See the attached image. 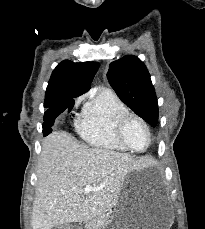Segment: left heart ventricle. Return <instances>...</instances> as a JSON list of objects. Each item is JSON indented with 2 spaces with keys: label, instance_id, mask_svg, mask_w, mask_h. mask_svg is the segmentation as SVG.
Listing matches in <instances>:
<instances>
[{
  "label": "left heart ventricle",
  "instance_id": "b2bd125f",
  "mask_svg": "<svg viewBox=\"0 0 205 229\" xmlns=\"http://www.w3.org/2000/svg\"><path fill=\"white\" fill-rule=\"evenodd\" d=\"M128 143L135 149H143L148 141L145 128L137 121H131L125 130Z\"/></svg>",
  "mask_w": 205,
  "mask_h": 229
}]
</instances>
